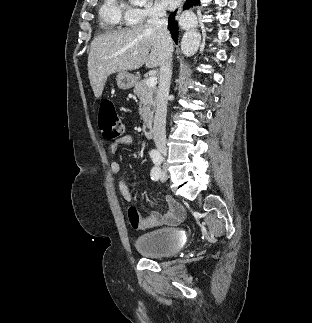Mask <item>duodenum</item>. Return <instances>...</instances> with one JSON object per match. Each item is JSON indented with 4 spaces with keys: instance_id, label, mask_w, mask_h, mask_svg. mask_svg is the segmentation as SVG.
Returning a JSON list of instances; mask_svg holds the SVG:
<instances>
[{
    "instance_id": "410a0bca",
    "label": "duodenum",
    "mask_w": 312,
    "mask_h": 323,
    "mask_svg": "<svg viewBox=\"0 0 312 323\" xmlns=\"http://www.w3.org/2000/svg\"><path fill=\"white\" fill-rule=\"evenodd\" d=\"M143 132L147 138H153V119L151 117H146L143 122Z\"/></svg>"
}]
</instances>
